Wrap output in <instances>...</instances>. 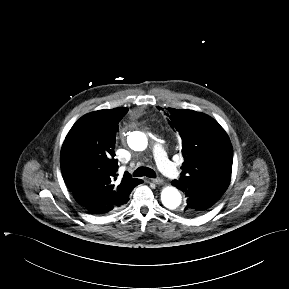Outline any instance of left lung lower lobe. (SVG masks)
Instances as JSON below:
<instances>
[{"label":"left lung lower lobe","instance_id":"obj_1","mask_svg":"<svg viewBox=\"0 0 289 289\" xmlns=\"http://www.w3.org/2000/svg\"><path fill=\"white\" fill-rule=\"evenodd\" d=\"M172 183L178 189L182 190L187 197V204L180 210V213L186 216L202 214L208 208L213 206L220 198L207 191L186 188L177 184L175 181H172Z\"/></svg>","mask_w":289,"mask_h":289}]
</instances>
